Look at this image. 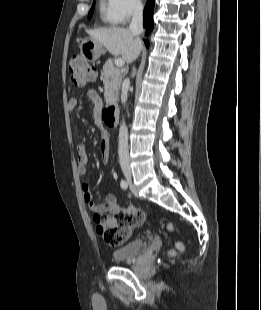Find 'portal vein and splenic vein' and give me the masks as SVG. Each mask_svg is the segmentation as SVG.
<instances>
[{"label": "portal vein and splenic vein", "mask_w": 261, "mask_h": 310, "mask_svg": "<svg viewBox=\"0 0 261 310\" xmlns=\"http://www.w3.org/2000/svg\"><path fill=\"white\" fill-rule=\"evenodd\" d=\"M116 67H123L125 65V61L122 58L115 59Z\"/></svg>", "instance_id": "1"}]
</instances>
